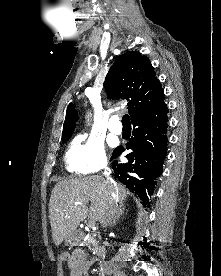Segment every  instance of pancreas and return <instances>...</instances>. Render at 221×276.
<instances>
[{"mask_svg": "<svg viewBox=\"0 0 221 276\" xmlns=\"http://www.w3.org/2000/svg\"><path fill=\"white\" fill-rule=\"evenodd\" d=\"M85 245L86 246H90V245H93L94 248H97L98 247V243L96 241V237L94 234H89L88 235V238H87V241L85 242Z\"/></svg>", "mask_w": 221, "mask_h": 276, "instance_id": "pancreas-1", "label": "pancreas"}]
</instances>
